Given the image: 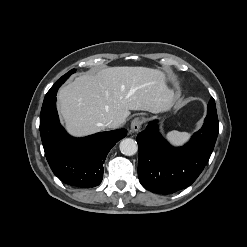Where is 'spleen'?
<instances>
[{"mask_svg": "<svg viewBox=\"0 0 247 247\" xmlns=\"http://www.w3.org/2000/svg\"><path fill=\"white\" fill-rule=\"evenodd\" d=\"M190 135L191 134L188 132H179L173 130L167 133L166 138L172 145L181 146L189 140Z\"/></svg>", "mask_w": 247, "mask_h": 247, "instance_id": "1", "label": "spleen"}]
</instances>
